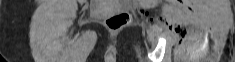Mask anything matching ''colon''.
Here are the masks:
<instances>
[{
	"instance_id": "obj_1",
	"label": "colon",
	"mask_w": 235,
	"mask_h": 62,
	"mask_svg": "<svg viewBox=\"0 0 235 62\" xmlns=\"http://www.w3.org/2000/svg\"><path fill=\"white\" fill-rule=\"evenodd\" d=\"M130 21V14L126 11H123L109 16L105 20V24L110 30H120L126 27L130 23Z\"/></svg>"
}]
</instances>
